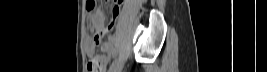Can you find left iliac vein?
I'll list each match as a JSON object with an SVG mask.
<instances>
[{
  "label": "left iliac vein",
  "instance_id": "left-iliac-vein-1",
  "mask_svg": "<svg viewBox=\"0 0 267 72\" xmlns=\"http://www.w3.org/2000/svg\"><path fill=\"white\" fill-rule=\"evenodd\" d=\"M109 72H118V67H115V68L109 70Z\"/></svg>",
  "mask_w": 267,
  "mask_h": 72
}]
</instances>
